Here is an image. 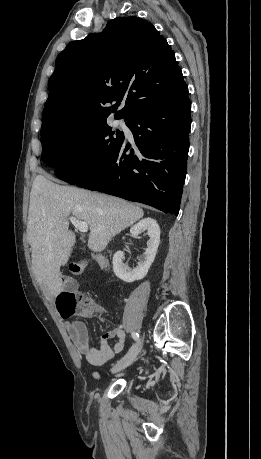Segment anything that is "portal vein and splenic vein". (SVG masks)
I'll list each match as a JSON object with an SVG mask.
<instances>
[{
  "mask_svg": "<svg viewBox=\"0 0 261 459\" xmlns=\"http://www.w3.org/2000/svg\"><path fill=\"white\" fill-rule=\"evenodd\" d=\"M70 222L82 233L88 232V224L86 222L80 221L79 219L71 216L69 217Z\"/></svg>",
  "mask_w": 261,
  "mask_h": 459,
  "instance_id": "obj_1",
  "label": "portal vein and splenic vein"
}]
</instances>
